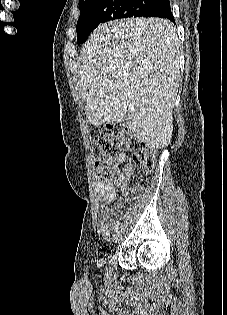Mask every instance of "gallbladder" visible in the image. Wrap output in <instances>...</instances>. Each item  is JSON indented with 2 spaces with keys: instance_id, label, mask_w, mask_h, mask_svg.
<instances>
[{
  "instance_id": "1",
  "label": "gallbladder",
  "mask_w": 227,
  "mask_h": 315,
  "mask_svg": "<svg viewBox=\"0 0 227 315\" xmlns=\"http://www.w3.org/2000/svg\"><path fill=\"white\" fill-rule=\"evenodd\" d=\"M125 120H126V116H123L120 121H121V122H124Z\"/></svg>"
}]
</instances>
